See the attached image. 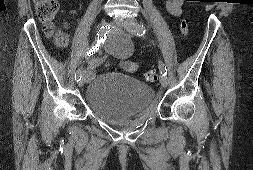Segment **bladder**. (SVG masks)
Returning a JSON list of instances; mask_svg holds the SVG:
<instances>
[{
  "instance_id": "obj_1",
  "label": "bladder",
  "mask_w": 253,
  "mask_h": 170,
  "mask_svg": "<svg viewBox=\"0 0 253 170\" xmlns=\"http://www.w3.org/2000/svg\"><path fill=\"white\" fill-rule=\"evenodd\" d=\"M85 97L88 107L100 119L122 125L152 106L154 89L137 77L105 72L88 83Z\"/></svg>"
}]
</instances>
